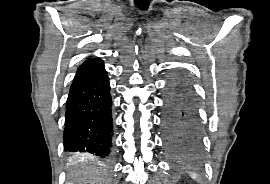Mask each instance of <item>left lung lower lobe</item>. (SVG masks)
Wrapping results in <instances>:
<instances>
[{"label": "left lung lower lobe", "mask_w": 270, "mask_h": 184, "mask_svg": "<svg viewBox=\"0 0 270 184\" xmlns=\"http://www.w3.org/2000/svg\"><path fill=\"white\" fill-rule=\"evenodd\" d=\"M161 128L166 151L172 159H201V126L195 96L190 83L184 77L178 78L170 86Z\"/></svg>", "instance_id": "left-lung-lower-lobe-1"}]
</instances>
